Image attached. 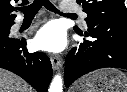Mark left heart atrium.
Returning a JSON list of instances; mask_svg holds the SVG:
<instances>
[{"label":"left heart atrium","instance_id":"39dd6f15","mask_svg":"<svg viewBox=\"0 0 127 92\" xmlns=\"http://www.w3.org/2000/svg\"><path fill=\"white\" fill-rule=\"evenodd\" d=\"M35 43L42 50L60 52L67 43L66 32L58 22H49L37 32Z\"/></svg>","mask_w":127,"mask_h":92}]
</instances>
